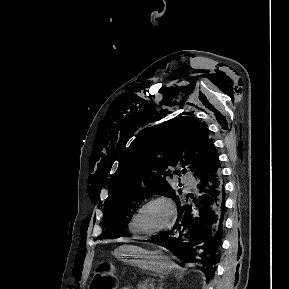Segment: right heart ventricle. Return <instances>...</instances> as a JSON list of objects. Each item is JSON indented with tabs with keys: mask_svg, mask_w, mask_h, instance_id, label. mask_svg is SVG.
<instances>
[{
	"mask_svg": "<svg viewBox=\"0 0 289 289\" xmlns=\"http://www.w3.org/2000/svg\"><path fill=\"white\" fill-rule=\"evenodd\" d=\"M129 229H130V231H131V233H132L133 235H137L135 232H133V231L131 230L130 224H129Z\"/></svg>",
	"mask_w": 289,
	"mask_h": 289,
	"instance_id": "right-heart-ventricle-1",
	"label": "right heart ventricle"
}]
</instances>
